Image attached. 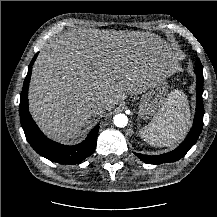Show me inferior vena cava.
<instances>
[{"label": "inferior vena cava", "instance_id": "602c4592", "mask_svg": "<svg viewBox=\"0 0 217 217\" xmlns=\"http://www.w3.org/2000/svg\"><path fill=\"white\" fill-rule=\"evenodd\" d=\"M104 109V102H92L89 105V110L92 114H97L102 112Z\"/></svg>", "mask_w": 217, "mask_h": 217}]
</instances>
